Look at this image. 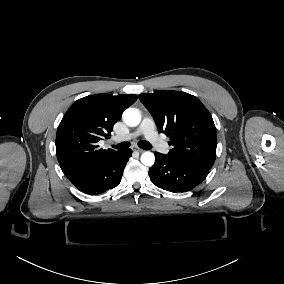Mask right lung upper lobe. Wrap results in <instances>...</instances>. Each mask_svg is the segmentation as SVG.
I'll return each instance as SVG.
<instances>
[{"instance_id":"right-lung-upper-lobe-1","label":"right lung upper lobe","mask_w":284,"mask_h":284,"mask_svg":"<svg viewBox=\"0 0 284 284\" xmlns=\"http://www.w3.org/2000/svg\"><path fill=\"white\" fill-rule=\"evenodd\" d=\"M137 100L133 94H96L75 101L65 113L56 134V154L66 177L75 185L117 151L98 148L109 138L123 111Z\"/></svg>"}]
</instances>
